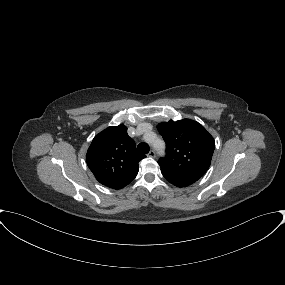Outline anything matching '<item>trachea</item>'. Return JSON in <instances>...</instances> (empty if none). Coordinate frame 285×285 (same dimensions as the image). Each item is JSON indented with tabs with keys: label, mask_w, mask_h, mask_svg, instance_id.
Segmentation results:
<instances>
[{
	"label": "trachea",
	"mask_w": 285,
	"mask_h": 285,
	"mask_svg": "<svg viewBox=\"0 0 285 285\" xmlns=\"http://www.w3.org/2000/svg\"><path fill=\"white\" fill-rule=\"evenodd\" d=\"M138 151L141 153H148L149 152V146L146 143H139L138 145Z\"/></svg>",
	"instance_id": "obj_1"
}]
</instances>
